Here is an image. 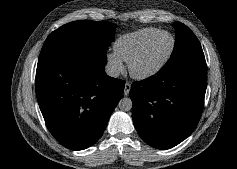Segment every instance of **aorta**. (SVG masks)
<instances>
[{
  "instance_id": "obj_1",
  "label": "aorta",
  "mask_w": 237,
  "mask_h": 169,
  "mask_svg": "<svg viewBox=\"0 0 237 169\" xmlns=\"http://www.w3.org/2000/svg\"><path fill=\"white\" fill-rule=\"evenodd\" d=\"M132 106V100L128 97H123L118 103V107L121 111H130Z\"/></svg>"
}]
</instances>
